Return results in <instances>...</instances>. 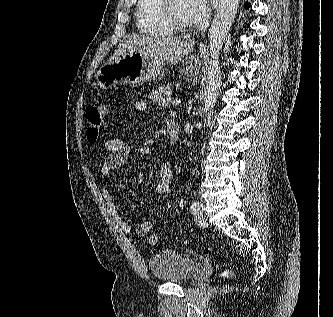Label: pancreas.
I'll use <instances>...</instances> for the list:
<instances>
[{"label": "pancreas", "instance_id": "obj_1", "mask_svg": "<svg viewBox=\"0 0 333 317\" xmlns=\"http://www.w3.org/2000/svg\"><path fill=\"white\" fill-rule=\"evenodd\" d=\"M172 94L170 86H163L154 89L150 95V99L158 106L167 107L166 97Z\"/></svg>", "mask_w": 333, "mask_h": 317}]
</instances>
